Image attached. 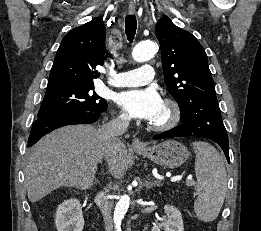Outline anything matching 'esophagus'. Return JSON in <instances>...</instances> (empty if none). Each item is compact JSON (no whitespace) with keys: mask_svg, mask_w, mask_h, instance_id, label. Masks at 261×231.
Instances as JSON below:
<instances>
[{"mask_svg":"<svg viewBox=\"0 0 261 231\" xmlns=\"http://www.w3.org/2000/svg\"><path fill=\"white\" fill-rule=\"evenodd\" d=\"M135 5H136V2L135 1H131L129 3V6H128V12L129 14H134L135 13ZM131 146L133 148H145V145L141 142V140L139 138H134L132 143H131Z\"/></svg>","mask_w":261,"mask_h":231,"instance_id":"34e87169","label":"esophagus"}]
</instances>
